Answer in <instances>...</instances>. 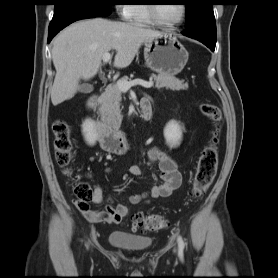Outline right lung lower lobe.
I'll list each match as a JSON object with an SVG mask.
<instances>
[{
  "label": "right lung lower lobe",
  "instance_id": "obj_1",
  "mask_svg": "<svg viewBox=\"0 0 278 278\" xmlns=\"http://www.w3.org/2000/svg\"><path fill=\"white\" fill-rule=\"evenodd\" d=\"M98 17L93 14L89 13H70L62 16L59 20L56 22H51L49 26V35H48V43L51 41V39L63 28L71 24L72 22H75L77 20L86 19V18H93Z\"/></svg>",
  "mask_w": 278,
  "mask_h": 278
}]
</instances>
